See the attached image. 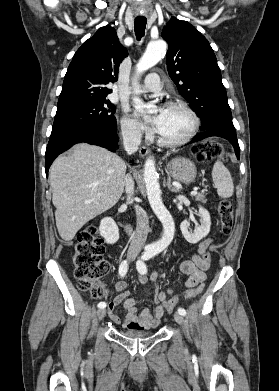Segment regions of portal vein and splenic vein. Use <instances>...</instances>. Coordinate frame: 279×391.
Returning <instances> with one entry per match:
<instances>
[{
  "label": "portal vein and splenic vein",
  "instance_id": "portal-vein-and-splenic-vein-1",
  "mask_svg": "<svg viewBox=\"0 0 279 391\" xmlns=\"http://www.w3.org/2000/svg\"><path fill=\"white\" fill-rule=\"evenodd\" d=\"M197 194V191L196 190H193L192 192H191V195H196Z\"/></svg>",
  "mask_w": 279,
  "mask_h": 391
}]
</instances>
